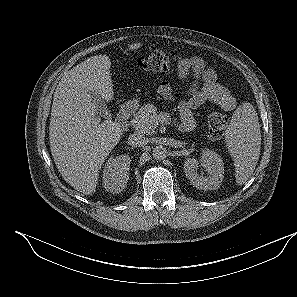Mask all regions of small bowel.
Wrapping results in <instances>:
<instances>
[{
	"instance_id": "1",
	"label": "small bowel",
	"mask_w": 297,
	"mask_h": 297,
	"mask_svg": "<svg viewBox=\"0 0 297 297\" xmlns=\"http://www.w3.org/2000/svg\"><path fill=\"white\" fill-rule=\"evenodd\" d=\"M176 76L185 80L193 78L192 87L186 99L178 103V113L181 118V130L189 131L195 126L193 111L205 103H213L225 111H232L236 101L227 88L218 81L217 74L199 56H177ZM159 94L168 100L174 101L176 96L167 82H162L158 88Z\"/></svg>"
}]
</instances>
